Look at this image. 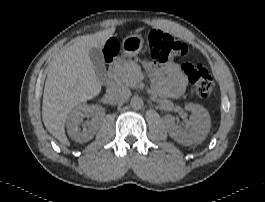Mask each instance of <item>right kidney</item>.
Wrapping results in <instances>:
<instances>
[{"label":"right kidney","instance_id":"right-kidney-1","mask_svg":"<svg viewBox=\"0 0 265 202\" xmlns=\"http://www.w3.org/2000/svg\"><path fill=\"white\" fill-rule=\"evenodd\" d=\"M104 116L105 110L99 105H87L85 103L77 105L67 117L66 126L68 135L72 140L79 143L91 140ZM86 117H92V119L81 130L80 125Z\"/></svg>","mask_w":265,"mask_h":202}]
</instances>
